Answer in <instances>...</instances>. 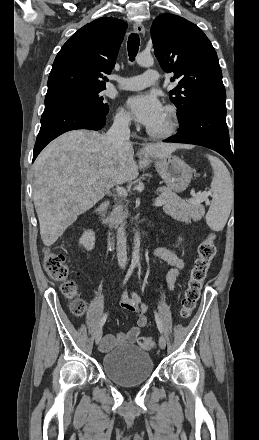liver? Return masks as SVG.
<instances>
[{
	"instance_id": "liver-1",
	"label": "liver",
	"mask_w": 259,
	"mask_h": 440,
	"mask_svg": "<svg viewBox=\"0 0 259 440\" xmlns=\"http://www.w3.org/2000/svg\"><path fill=\"white\" fill-rule=\"evenodd\" d=\"M183 146L149 143L134 159L131 143L116 148L106 135L66 132L39 154L33 166V200L45 246L53 245L77 217L102 200L116 184L131 182L150 164ZM189 148V146H184Z\"/></svg>"
}]
</instances>
